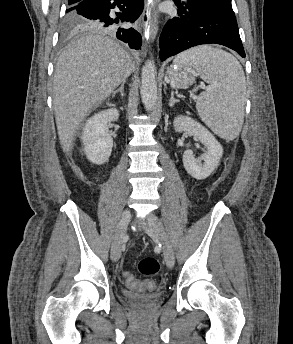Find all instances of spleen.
<instances>
[{
  "mask_svg": "<svg viewBox=\"0 0 293 344\" xmlns=\"http://www.w3.org/2000/svg\"><path fill=\"white\" fill-rule=\"evenodd\" d=\"M176 60L190 63L210 84V89L196 101L202 121L221 138L238 136L244 121L246 91L245 75L238 60L210 46L192 48Z\"/></svg>",
  "mask_w": 293,
  "mask_h": 344,
  "instance_id": "1",
  "label": "spleen"
}]
</instances>
